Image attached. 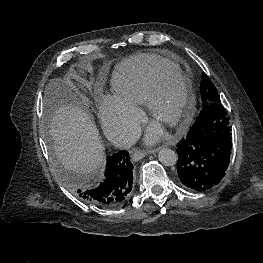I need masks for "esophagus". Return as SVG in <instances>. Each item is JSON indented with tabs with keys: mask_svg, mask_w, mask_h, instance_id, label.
<instances>
[{
	"mask_svg": "<svg viewBox=\"0 0 263 263\" xmlns=\"http://www.w3.org/2000/svg\"><path fill=\"white\" fill-rule=\"evenodd\" d=\"M157 151H158V149H151V150H147V151H142L139 149H132L131 157H132L133 161L136 162V161H139L140 159H142L145 155L154 154Z\"/></svg>",
	"mask_w": 263,
	"mask_h": 263,
	"instance_id": "34e87169",
	"label": "esophagus"
}]
</instances>
